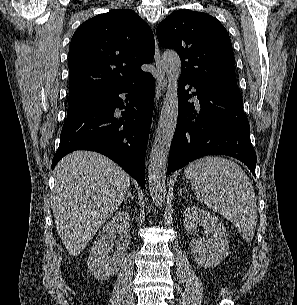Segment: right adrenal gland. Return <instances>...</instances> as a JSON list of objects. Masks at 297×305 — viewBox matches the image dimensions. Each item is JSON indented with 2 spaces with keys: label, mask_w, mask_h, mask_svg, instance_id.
Returning a JSON list of instances; mask_svg holds the SVG:
<instances>
[{
  "label": "right adrenal gland",
  "mask_w": 297,
  "mask_h": 305,
  "mask_svg": "<svg viewBox=\"0 0 297 305\" xmlns=\"http://www.w3.org/2000/svg\"><path fill=\"white\" fill-rule=\"evenodd\" d=\"M129 197H130L131 199H133V196H132V194H131V191L128 192V195L126 196L125 201H126L127 198H129Z\"/></svg>",
  "instance_id": "2a0ac1e0"
}]
</instances>
